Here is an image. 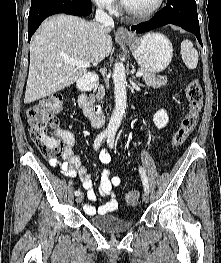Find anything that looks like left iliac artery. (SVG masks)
<instances>
[{
    "mask_svg": "<svg viewBox=\"0 0 221 263\" xmlns=\"http://www.w3.org/2000/svg\"><path fill=\"white\" fill-rule=\"evenodd\" d=\"M114 139H115V134L114 133H110L108 134V138H107V144L110 148H113L114 146ZM139 172L141 175V180L144 186V190L145 192L149 193V184H148V180H147V176L145 174V171L142 167L139 168Z\"/></svg>",
    "mask_w": 221,
    "mask_h": 263,
    "instance_id": "44dca946",
    "label": "left iliac artery"
}]
</instances>
